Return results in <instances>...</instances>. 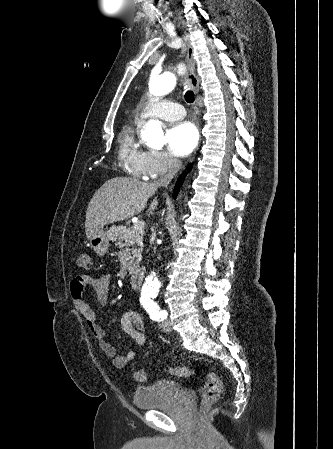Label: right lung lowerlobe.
Masks as SVG:
<instances>
[{"mask_svg":"<svg viewBox=\"0 0 333 449\" xmlns=\"http://www.w3.org/2000/svg\"><path fill=\"white\" fill-rule=\"evenodd\" d=\"M190 168H191V165L188 166V171L190 170ZM185 175H186V173L184 172L183 175L179 176V178H178V180H177V183H176V186H175L174 193H173V198L176 197L177 192H178L179 188L181 187V185H182V183H183V180H184V176H185Z\"/></svg>","mask_w":333,"mask_h":449,"instance_id":"obj_1","label":"right lung lower lobe"}]
</instances>
